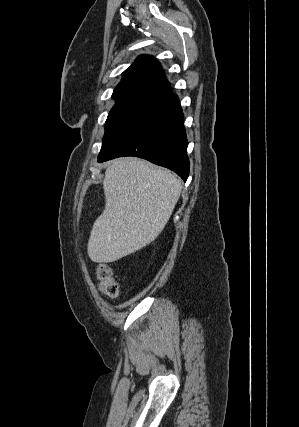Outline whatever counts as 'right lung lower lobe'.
Returning <instances> with one entry per match:
<instances>
[{"label":"right lung lower lobe","instance_id":"obj_1","mask_svg":"<svg viewBox=\"0 0 299 427\" xmlns=\"http://www.w3.org/2000/svg\"><path fill=\"white\" fill-rule=\"evenodd\" d=\"M188 141L183 112L176 95L157 101L148 112L105 152L98 162L121 156H137L176 172L184 181L189 175Z\"/></svg>","mask_w":299,"mask_h":427}]
</instances>
